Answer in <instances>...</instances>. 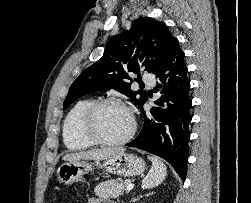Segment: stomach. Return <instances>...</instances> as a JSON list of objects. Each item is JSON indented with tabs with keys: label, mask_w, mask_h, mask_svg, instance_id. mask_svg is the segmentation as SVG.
I'll use <instances>...</instances> for the list:
<instances>
[{
	"label": "stomach",
	"mask_w": 251,
	"mask_h": 203,
	"mask_svg": "<svg viewBox=\"0 0 251 203\" xmlns=\"http://www.w3.org/2000/svg\"><path fill=\"white\" fill-rule=\"evenodd\" d=\"M95 167L103 168L106 172L119 176H136L144 172L146 164L138 156L122 150L104 160L103 163L87 160L63 163L56 171L57 179L65 185L74 182H86V176L91 174Z\"/></svg>",
	"instance_id": "0dacf381"
}]
</instances>
